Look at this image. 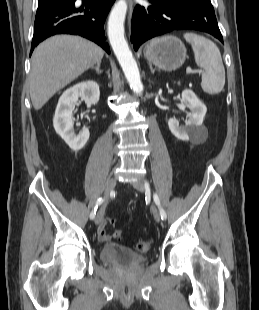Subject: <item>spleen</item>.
Segmentation results:
<instances>
[{
	"mask_svg": "<svg viewBox=\"0 0 259 310\" xmlns=\"http://www.w3.org/2000/svg\"><path fill=\"white\" fill-rule=\"evenodd\" d=\"M184 38L192 46L195 62L203 68L201 87L208 94L220 93L225 85V69L216 44L196 33H185Z\"/></svg>",
	"mask_w": 259,
	"mask_h": 310,
	"instance_id": "spleen-1",
	"label": "spleen"
}]
</instances>
